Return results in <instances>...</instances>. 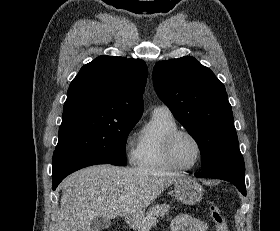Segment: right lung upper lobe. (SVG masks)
Here are the masks:
<instances>
[{
	"label": "right lung upper lobe",
	"instance_id": "right-lung-upper-lobe-1",
	"mask_svg": "<svg viewBox=\"0 0 280 231\" xmlns=\"http://www.w3.org/2000/svg\"><path fill=\"white\" fill-rule=\"evenodd\" d=\"M146 79L147 66L143 60L100 56L84 65L72 80L62 120L97 117L139 120Z\"/></svg>",
	"mask_w": 280,
	"mask_h": 231
}]
</instances>
